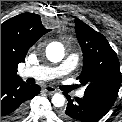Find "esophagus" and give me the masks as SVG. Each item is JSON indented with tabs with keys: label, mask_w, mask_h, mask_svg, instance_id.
<instances>
[{
	"label": "esophagus",
	"mask_w": 122,
	"mask_h": 122,
	"mask_svg": "<svg viewBox=\"0 0 122 122\" xmlns=\"http://www.w3.org/2000/svg\"><path fill=\"white\" fill-rule=\"evenodd\" d=\"M44 90H45L47 93H49L50 95H52V94H54V93L57 92V90H56L54 87H52V86H45V87H44Z\"/></svg>",
	"instance_id": "esophagus-1"
}]
</instances>
